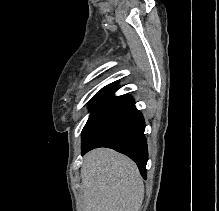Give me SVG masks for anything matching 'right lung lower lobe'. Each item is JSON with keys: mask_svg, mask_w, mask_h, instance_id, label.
I'll return each instance as SVG.
<instances>
[{"mask_svg": "<svg viewBox=\"0 0 219 211\" xmlns=\"http://www.w3.org/2000/svg\"><path fill=\"white\" fill-rule=\"evenodd\" d=\"M113 93L109 92L82 131V155L98 147L112 148L136 162L146 178L148 151L143 116L130 95Z\"/></svg>", "mask_w": 219, "mask_h": 211, "instance_id": "obj_1", "label": "right lung lower lobe"}]
</instances>
